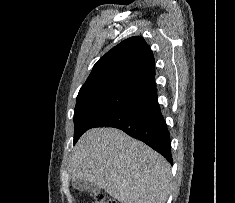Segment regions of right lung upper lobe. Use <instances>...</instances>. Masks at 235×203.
<instances>
[{
  "label": "right lung upper lobe",
  "instance_id": "cb5924a9",
  "mask_svg": "<svg viewBox=\"0 0 235 203\" xmlns=\"http://www.w3.org/2000/svg\"><path fill=\"white\" fill-rule=\"evenodd\" d=\"M154 57L143 38L130 37L103 55L94 65L81 89L126 82L151 88L155 85Z\"/></svg>",
  "mask_w": 235,
  "mask_h": 203
}]
</instances>
